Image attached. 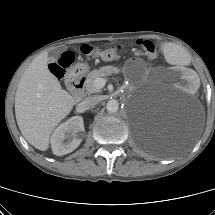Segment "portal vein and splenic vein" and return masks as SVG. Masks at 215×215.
<instances>
[{
    "label": "portal vein and splenic vein",
    "instance_id": "portal-vein-and-splenic-vein-1",
    "mask_svg": "<svg viewBox=\"0 0 215 215\" xmlns=\"http://www.w3.org/2000/svg\"><path fill=\"white\" fill-rule=\"evenodd\" d=\"M107 82L106 78L99 77L95 80V86L99 89L103 88Z\"/></svg>",
    "mask_w": 215,
    "mask_h": 215
}]
</instances>
